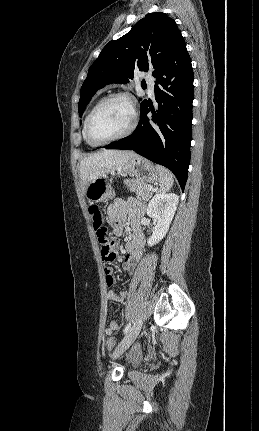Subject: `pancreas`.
Here are the masks:
<instances>
[{
	"mask_svg": "<svg viewBox=\"0 0 259 431\" xmlns=\"http://www.w3.org/2000/svg\"><path fill=\"white\" fill-rule=\"evenodd\" d=\"M124 184L128 187L131 192H135L137 196L143 200H149L152 196V192L148 190V184L143 182L141 179H127L124 180Z\"/></svg>",
	"mask_w": 259,
	"mask_h": 431,
	"instance_id": "cf45deb5",
	"label": "pancreas"
}]
</instances>
